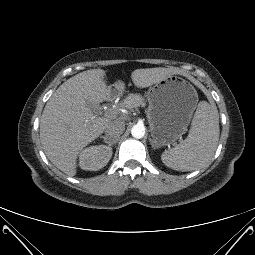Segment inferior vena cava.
Segmentation results:
<instances>
[{"instance_id":"1","label":"inferior vena cava","mask_w":255,"mask_h":255,"mask_svg":"<svg viewBox=\"0 0 255 255\" xmlns=\"http://www.w3.org/2000/svg\"><path fill=\"white\" fill-rule=\"evenodd\" d=\"M125 124L123 121L115 120L109 122L105 127L106 140L108 144H114L118 141V137L124 132Z\"/></svg>"}]
</instances>
